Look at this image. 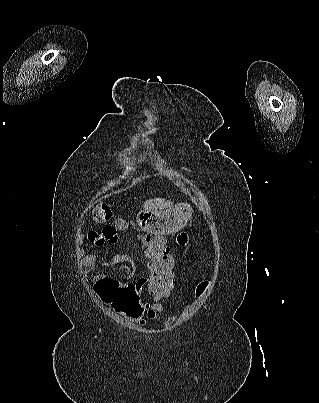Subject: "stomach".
I'll return each mask as SVG.
<instances>
[{
	"mask_svg": "<svg viewBox=\"0 0 319 403\" xmlns=\"http://www.w3.org/2000/svg\"><path fill=\"white\" fill-rule=\"evenodd\" d=\"M138 228L148 234H175L183 229L192 217V209L187 204H179L164 211L136 210Z\"/></svg>",
	"mask_w": 319,
	"mask_h": 403,
	"instance_id": "obj_1",
	"label": "stomach"
}]
</instances>
